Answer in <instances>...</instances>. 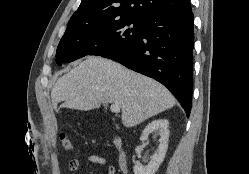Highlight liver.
<instances>
[{"mask_svg": "<svg viewBox=\"0 0 249 174\" xmlns=\"http://www.w3.org/2000/svg\"><path fill=\"white\" fill-rule=\"evenodd\" d=\"M56 108L89 111L108 103L118 104L122 123L134 127L175 105L162 84L112 60L87 57L60 77L51 91Z\"/></svg>", "mask_w": 249, "mask_h": 174, "instance_id": "liver-1", "label": "liver"}]
</instances>
